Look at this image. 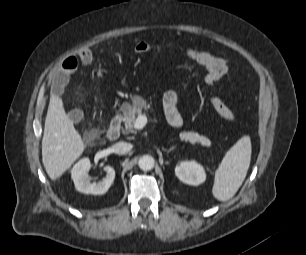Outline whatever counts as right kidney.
Returning a JSON list of instances; mask_svg holds the SVG:
<instances>
[{"instance_id": "1", "label": "right kidney", "mask_w": 306, "mask_h": 255, "mask_svg": "<svg viewBox=\"0 0 306 255\" xmlns=\"http://www.w3.org/2000/svg\"><path fill=\"white\" fill-rule=\"evenodd\" d=\"M90 167L91 163L88 158H83L74 165L71 173L75 188L84 194H105L114 181V168L111 166L104 167V171L106 172L105 178L102 181L92 183L88 175Z\"/></svg>"}]
</instances>
